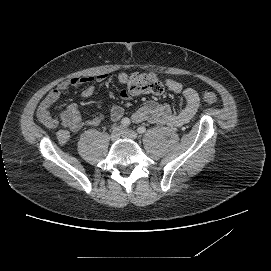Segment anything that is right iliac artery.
<instances>
[{
    "instance_id": "1",
    "label": "right iliac artery",
    "mask_w": 271,
    "mask_h": 271,
    "mask_svg": "<svg viewBox=\"0 0 271 271\" xmlns=\"http://www.w3.org/2000/svg\"><path fill=\"white\" fill-rule=\"evenodd\" d=\"M120 123H121L122 126L127 127V126L130 125V119L129 118H123Z\"/></svg>"
}]
</instances>
